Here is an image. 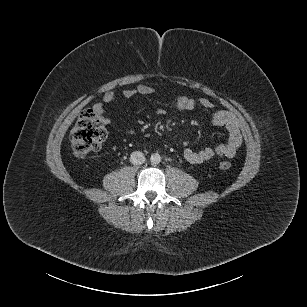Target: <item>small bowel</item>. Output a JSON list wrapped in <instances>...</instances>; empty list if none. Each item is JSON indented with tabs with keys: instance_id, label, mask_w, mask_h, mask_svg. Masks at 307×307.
Masks as SVG:
<instances>
[{
	"instance_id": "c3829d8e",
	"label": "small bowel",
	"mask_w": 307,
	"mask_h": 307,
	"mask_svg": "<svg viewBox=\"0 0 307 307\" xmlns=\"http://www.w3.org/2000/svg\"><path fill=\"white\" fill-rule=\"evenodd\" d=\"M154 93V88L149 84H139L136 88L123 90L121 93L113 91L106 92L102 101L94 103L92 109L97 118L105 125L111 124V119L107 116L105 111V104L114 103L120 96L129 99L135 96H148ZM175 106L180 111H191L197 107L209 110V120L215 125L222 127L228 134V139L225 143L216 145L215 147H206L201 150H194L184 142L183 156L185 160L191 164H200L212 158L235 156L238 148L242 144V135L240 128L234 117L226 111L213 110L214 104L207 98H191L188 96H180L175 101ZM133 130H128L131 133Z\"/></svg>"
}]
</instances>
